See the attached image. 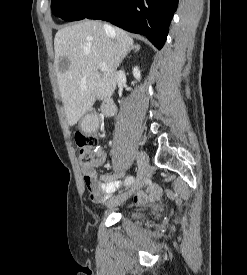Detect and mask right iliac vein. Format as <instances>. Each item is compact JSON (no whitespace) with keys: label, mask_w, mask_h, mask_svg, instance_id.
<instances>
[{"label":"right iliac vein","mask_w":247,"mask_h":275,"mask_svg":"<svg viewBox=\"0 0 247 275\" xmlns=\"http://www.w3.org/2000/svg\"><path fill=\"white\" fill-rule=\"evenodd\" d=\"M138 173L134 183L131 185L130 190L113 198L109 201V206H116L125 201L132 192L140 189L150 174L148 157L144 152L139 153L137 157Z\"/></svg>","instance_id":"1"}]
</instances>
